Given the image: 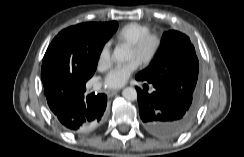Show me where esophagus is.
<instances>
[{"label":"esophagus","instance_id":"esophagus-1","mask_svg":"<svg viewBox=\"0 0 244 157\" xmlns=\"http://www.w3.org/2000/svg\"><path fill=\"white\" fill-rule=\"evenodd\" d=\"M119 91H120V89L110 90V91H108V94H109V96H114V95H116Z\"/></svg>","mask_w":244,"mask_h":157}]
</instances>
